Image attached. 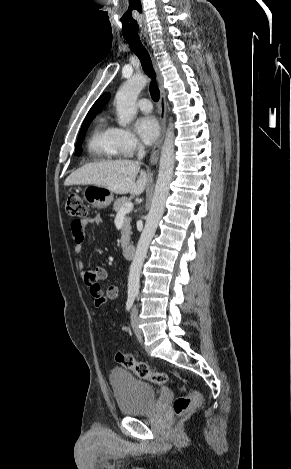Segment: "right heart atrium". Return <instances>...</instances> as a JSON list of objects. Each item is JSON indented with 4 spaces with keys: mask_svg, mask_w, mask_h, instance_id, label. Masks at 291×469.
Here are the masks:
<instances>
[{
    "mask_svg": "<svg viewBox=\"0 0 291 469\" xmlns=\"http://www.w3.org/2000/svg\"><path fill=\"white\" fill-rule=\"evenodd\" d=\"M112 135L114 146L122 156H131L141 147L136 135L128 128L113 127Z\"/></svg>",
    "mask_w": 291,
    "mask_h": 469,
    "instance_id": "right-heart-atrium-1",
    "label": "right heart atrium"
}]
</instances>
